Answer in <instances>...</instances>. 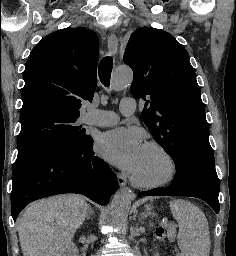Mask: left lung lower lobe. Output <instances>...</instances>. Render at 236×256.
<instances>
[{"mask_svg":"<svg viewBox=\"0 0 236 256\" xmlns=\"http://www.w3.org/2000/svg\"><path fill=\"white\" fill-rule=\"evenodd\" d=\"M176 171L177 173L169 187L144 191L138 196L197 197L207 202L216 213L219 212V179L214 160L190 157L184 159L180 165H176Z\"/></svg>","mask_w":236,"mask_h":256,"instance_id":"left-lung-lower-lobe-1","label":"left lung lower lobe"}]
</instances>
